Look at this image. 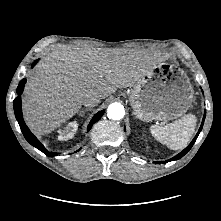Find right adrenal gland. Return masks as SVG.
Here are the masks:
<instances>
[{
    "mask_svg": "<svg viewBox=\"0 0 221 221\" xmlns=\"http://www.w3.org/2000/svg\"><path fill=\"white\" fill-rule=\"evenodd\" d=\"M88 110H90V109H82V110L79 111L78 115H79V116H84V114H85L86 111H88Z\"/></svg>",
    "mask_w": 221,
    "mask_h": 221,
    "instance_id": "1",
    "label": "right adrenal gland"
}]
</instances>
